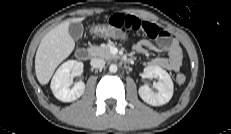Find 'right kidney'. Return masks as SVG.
Returning a JSON list of instances; mask_svg holds the SVG:
<instances>
[{
	"label": "right kidney",
	"mask_w": 231,
	"mask_h": 134,
	"mask_svg": "<svg viewBox=\"0 0 231 134\" xmlns=\"http://www.w3.org/2000/svg\"><path fill=\"white\" fill-rule=\"evenodd\" d=\"M83 70V63L76 60H69L63 63L54 74L51 81V90L54 96L63 102H72L82 96L85 90V84L82 81L76 82L73 88H70L72 80L70 73L78 75Z\"/></svg>",
	"instance_id": "1"
}]
</instances>
